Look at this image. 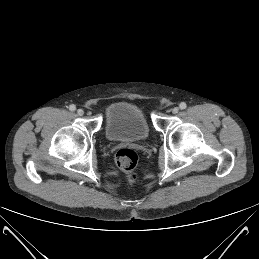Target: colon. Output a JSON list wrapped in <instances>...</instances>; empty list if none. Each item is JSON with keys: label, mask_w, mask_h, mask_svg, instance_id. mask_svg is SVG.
<instances>
[{"label": "colon", "mask_w": 259, "mask_h": 259, "mask_svg": "<svg viewBox=\"0 0 259 259\" xmlns=\"http://www.w3.org/2000/svg\"><path fill=\"white\" fill-rule=\"evenodd\" d=\"M115 160L119 169L125 173L128 181L130 183L135 182V168L138 162L137 153L132 149L123 148L117 152Z\"/></svg>", "instance_id": "1"}]
</instances>
